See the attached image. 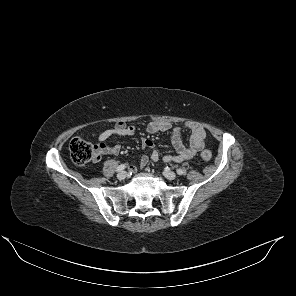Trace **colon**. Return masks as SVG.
Instances as JSON below:
<instances>
[{"label": "colon", "mask_w": 296, "mask_h": 296, "mask_svg": "<svg viewBox=\"0 0 296 296\" xmlns=\"http://www.w3.org/2000/svg\"><path fill=\"white\" fill-rule=\"evenodd\" d=\"M69 152L72 161L78 166L89 163L99 155L97 148L93 144L81 138H73L70 141ZM200 156L204 161H210L212 158V154L209 150H203Z\"/></svg>", "instance_id": "1"}]
</instances>
